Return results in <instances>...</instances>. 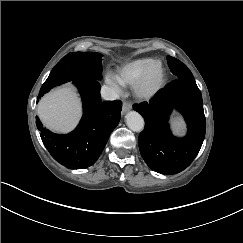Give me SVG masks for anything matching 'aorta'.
<instances>
[{
	"mask_svg": "<svg viewBox=\"0 0 243 243\" xmlns=\"http://www.w3.org/2000/svg\"><path fill=\"white\" fill-rule=\"evenodd\" d=\"M127 127L134 132H141L144 129V119L136 111H130L125 116Z\"/></svg>",
	"mask_w": 243,
	"mask_h": 243,
	"instance_id": "762f6f07",
	"label": "aorta"
}]
</instances>
